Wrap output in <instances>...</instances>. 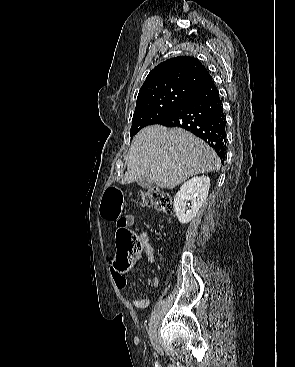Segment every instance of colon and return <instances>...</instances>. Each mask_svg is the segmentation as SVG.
Returning <instances> with one entry per match:
<instances>
[{
    "label": "colon",
    "instance_id": "1",
    "mask_svg": "<svg viewBox=\"0 0 295 367\" xmlns=\"http://www.w3.org/2000/svg\"><path fill=\"white\" fill-rule=\"evenodd\" d=\"M142 205L154 207L167 214L172 213L174 208L172 197L158 188H150L142 194ZM124 206L123 191L117 186L109 187L103 200V217L110 221L119 222L122 218ZM116 245L115 265L120 272H124L131 266L133 257L141 251L142 243L127 228H120L116 233Z\"/></svg>",
    "mask_w": 295,
    "mask_h": 367
}]
</instances>
